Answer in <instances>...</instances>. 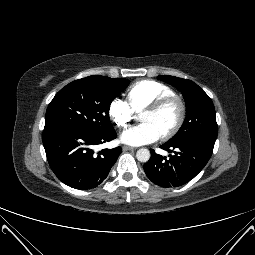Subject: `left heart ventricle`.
<instances>
[{"instance_id": "b2bd125f", "label": "left heart ventricle", "mask_w": 255, "mask_h": 255, "mask_svg": "<svg viewBox=\"0 0 255 255\" xmlns=\"http://www.w3.org/2000/svg\"><path fill=\"white\" fill-rule=\"evenodd\" d=\"M177 117L178 107L176 104H171L159 112H143L140 116V120L143 123L153 125L160 134H163L173 126Z\"/></svg>"}]
</instances>
